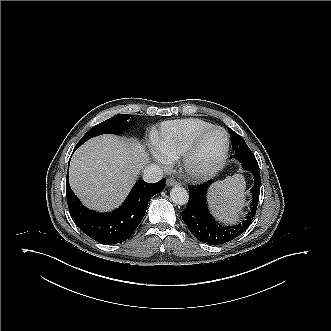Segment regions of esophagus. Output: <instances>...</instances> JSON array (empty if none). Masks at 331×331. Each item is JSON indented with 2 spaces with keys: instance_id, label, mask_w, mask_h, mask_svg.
I'll return each mask as SVG.
<instances>
[{
  "instance_id": "1",
  "label": "esophagus",
  "mask_w": 331,
  "mask_h": 331,
  "mask_svg": "<svg viewBox=\"0 0 331 331\" xmlns=\"http://www.w3.org/2000/svg\"><path fill=\"white\" fill-rule=\"evenodd\" d=\"M166 184H167V186H177L180 183L178 181H176L174 178H168Z\"/></svg>"
}]
</instances>
